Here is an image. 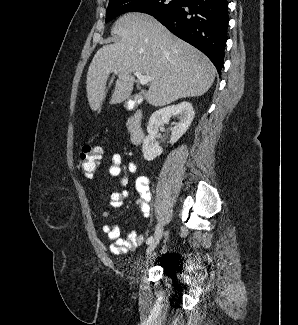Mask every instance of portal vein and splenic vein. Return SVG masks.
<instances>
[{
	"instance_id": "1",
	"label": "portal vein and splenic vein",
	"mask_w": 298,
	"mask_h": 325,
	"mask_svg": "<svg viewBox=\"0 0 298 325\" xmlns=\"http://www.w3.org/2000/svg\"><path fill=\"white\" fill-rule=\"evenodd\" d=\"M114 74H118V70H114ZM133 74L140 80V84H147V82L153 80L152 76H145V74H141V72H133Z\"/></svg>"
}]
</instances>
